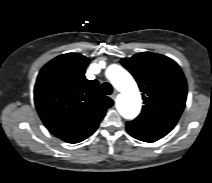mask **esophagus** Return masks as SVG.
Here are the masks:
<instances>
[{
	"label": "esophagus",
	"mask_w": 212,
	"mask_h": 183,
	"mask_svg": "<svg viewBox=\"0 0 212 183\" xmlns=\"http://www.w3.org/2000/svg\"><path fill=\"white\" fill-rule=\"evenodd\" d=\"M118 92L114 91V93L111 95L112 100H116Z\"/></svg>",
	"instance_id": "34e87169"
}]
</instances>
